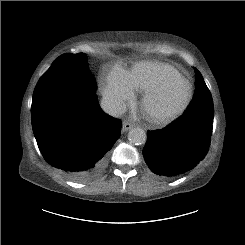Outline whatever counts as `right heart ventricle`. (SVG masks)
<instances>
[{"label":"right heart ventricle","instance_id":"obj_1","mask_svg":"<svg viewBox=\"0 0 245 245\" xmlns=\"http://www.w3.org/2000/svg\"><path fill=\"white\" fill-rule=\"evenodd\" d=\"M176 73L179 72L167 64L140 62L137 63L127 75L133 89L146 91L163 84Z\"/></svg>","mask_w":245,"mask_h":245}]
</instances>
